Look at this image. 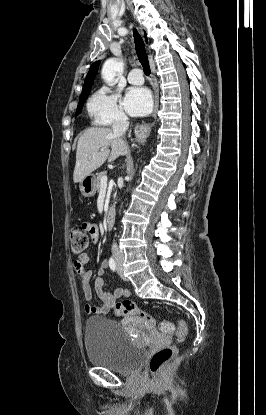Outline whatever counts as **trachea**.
Segmentation results:
<instances>
[{
    "label": "trachea",
    "mask_w": 266,
    "mask_h": 415,
    "mask_svg": "<svg viewBox=\"0 0 266 415\" xmlns=\"http://www.w3.org/2000/svg\"><path fill=\"white\" fill-rule=\"evenodd\" d=\"M133 33H134L133 35H134L135 50H136L138 59L144 69L145 74L149 75L151 71H150L148 57L145 51V44L143 42L142 37L139 35V33L135 29L133 30Z\"/></svg>",
    "instance_id": "1"
}]
</instances>
